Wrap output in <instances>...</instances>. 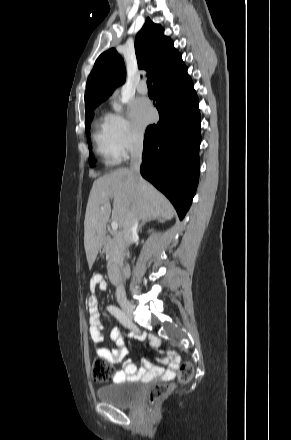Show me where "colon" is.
I'll use <instances>...</instances> for the list:
<instances>
[{
  "instance_id": "colon-1",
  "label": "colon",
  "mask_w": 291,
  "mask_h": 440,
  "mask_svg": "<svg viewBox=\"0 0 291 440\" xmlns=\"http://www.w3.org/2000/svg\"><path fill=\"white\" fill-rule=\"evenodd\" d=\"M193 375V365L189 361L181 364L179 370V380L182 383L188 382ZM110 365L104 358L97 359L92 365V377L95 381L103 382L111 378ZM172 385L168 383H157L150 390L148 403L155 405L159 400L166 397L172 391Z\"/></svg>"
}]
</instances>
